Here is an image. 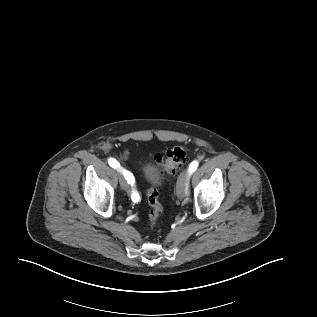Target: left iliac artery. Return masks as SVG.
Wrapping results in <instances>:
<instances>
[{
	"label": "left iliac artery",
	"instance_id": "1",
	"mask_svg": "<svg viewBox=\"0 0 317 317\" xmlns=\"http://www.w3.org/2000/svg\"><path fill=\"white\" fill-rule=\"evenodd\" d=\"M198 165L199 163L197 160H194L193 162H191L188 168L189 174H192L197 169Z\"/></svg>",
	"mask_w": 317,
	"mask_h": 317
}]
</instances>
